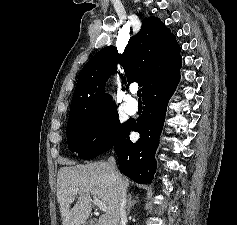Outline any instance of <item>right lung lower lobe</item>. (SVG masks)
Wrapping results in <instances>:
<instances>
[{
  "mask_svg": "<svg viewBox=\"0 0 237 225\" xmlns=\"http://www.w3.org/2000/svg\"><path fill=\"white\" fill-rule=\"evenodd\" d=\"M179 79L162 83L143 97V114L137 122H129L112 148L119 160L120 171L140 184L151 183L156 172L155 153L164 125L167 104ZM131 131H137L140 139L132 143Z\"/></svg>",
  "mask_w": 237,
  "mask_h": 225,
  "instance_id": "1",
  "label": "right lung lower lobe"
}]
</instances>
